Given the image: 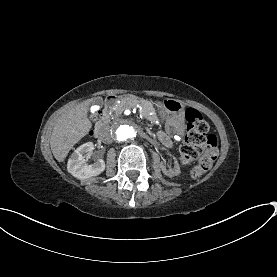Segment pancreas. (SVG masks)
Returning a JSON list of instances; mask_svg holds the SVG:
<instances>
[{"label":"pancreas","instance_id":"1","mask_svg":"<svg viewBox=\"0 0 277 277\" xmlns=\"http://www.w3.org/2000/svg\"><path fill=\"white\" fill-rule=\"evenodd\" d=\"M127 109L133 110L140 117H145L149 124H155L159 120L157 112L152 111L153 105L149 101H143L140 97L127 96L124 99L119 97L116 101L111 102L107 106V114L110 117H117L120 113L125 112Z\"/></svg>","mask_w":277,"mask_h":277}]
</instances>
